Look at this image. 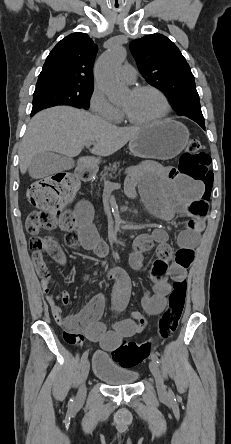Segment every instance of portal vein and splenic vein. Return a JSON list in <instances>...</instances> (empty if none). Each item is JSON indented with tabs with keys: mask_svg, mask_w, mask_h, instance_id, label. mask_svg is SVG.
Returning a JSON list of instances; mask_svg holds the SVG:
<instances>
[{
	"mask_svg": "<svg viewBox=\"0 0 231 444\" xmlns=\"http://www.w3.org/2000/svg\"><path fill=\"white\" fill-rule=\"evenodd\" d=\"M91 145H92V143H86V144H85V146H86L87 148H89ZM104 185H105L106 187H112V188L116 186V184H114L113 182H111V181H109V180H105V181H104Z\"/></svg>",
	"mask_w": 231,
	"mask_h": 444,
	"instance_id": "18ae733b",
	"label": "portal vein and splenic vein"
}]
</instances>
